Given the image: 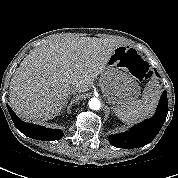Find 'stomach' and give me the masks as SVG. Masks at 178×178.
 <instances>
[{"label":"stomach","instance_id":"1","mask_svg":"<svg viewBox=\"0 0 178 178\" xmlns=\"http://www.w3.org/2000/svg\"><path fill=\"white\" fill-rule=\"evenodd\" d=\"M118 47L111 55L104 72L100 76L99 85L107 101L112 105H125L137 99L140 86L136 78L129 72L127 57L119 52ZM125 53L128 48L123 47Z\"/></svg>","mask_w":178,"mask_h":178}]
</instances>
